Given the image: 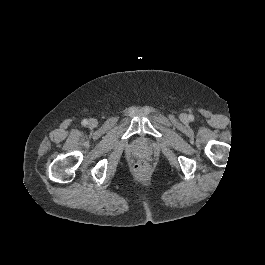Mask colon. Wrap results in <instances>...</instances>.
I'll use <instances>...</instances> for the list:
<instances>
[{
  "mask_svg": "<svg viewBox=\"0 0 265 265\" xmlns=\"http://www.w3.org/2000/svg\"><path fill=\"white\" fill-rule=\"evenodd\" d=\"M134 168L139 172H144L148 169V164L145 161L141 160L135 164Z\"/></svg>",
  "mask_w": 265,
  "mask_h": 265,
  "instance_id": "colon-1",
  "label": "colon"
}]
</instances>
